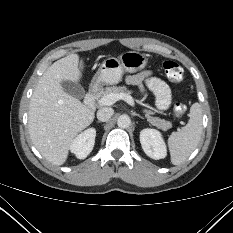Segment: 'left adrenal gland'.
Instances as JSON below:
<instances>
[{
	"label": "left adrenal gland",
	"instance_id": "left-adrenal-gland-1",
	"mask_svg": "<svg viewBox=\"0 0 233 233\" xmlns=\"http://www.w3.org/2000/svg\"><path fill=\"white\" fill-rule=\"evenodd\" d=\"M134 116H138L139 118H141V119H144L140 114H137L136 112H133L132 113Z\"/></svg>",
	"mask_w": 233,
	"mask_h": 233
}]
</instances>
